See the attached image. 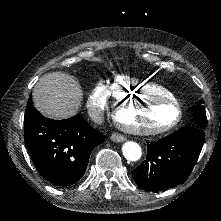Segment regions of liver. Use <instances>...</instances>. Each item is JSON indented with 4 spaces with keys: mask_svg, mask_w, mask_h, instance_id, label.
<instances>
[{
    "mask_svg": "<svg viewBox=\"0 0 221 221\" xmlns=\"http://www.w3.org/2000/svg\"><path fill=\"white\" fill-rule=\"evenodd\" d=\"M82 100L79 83L61 72L43 75L33 89V101L38 111L58 120L76 115Z\"/></svg>",
    "mask_w": 221,
    "mask_h": 221,
    "instance_id": "liver-1",
    "label": "liver"
}]
</instances>
